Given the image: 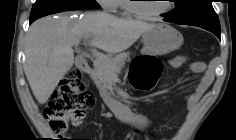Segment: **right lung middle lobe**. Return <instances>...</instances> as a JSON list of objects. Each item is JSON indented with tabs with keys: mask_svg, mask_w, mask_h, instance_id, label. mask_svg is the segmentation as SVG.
Wrapping results in <instances>:
<instances>
[{
	"mask_svg": "<svg viewBox=\"0 0 236 140\" xmlns=\"http://www.w3.org/2000/svg\"><path fill=\"white\" fill-rule=\"evenodd\" d=\"M99 7L95 0H36L32 7L30 20L63 11L97 9Z\"/></svg>",
	"mask_w": 236,
	"mask_h": 140,
	"instance_id": "right-lung-middle-lobe-1",
	"label": "right lung middle lobe"
}]
</instances>
